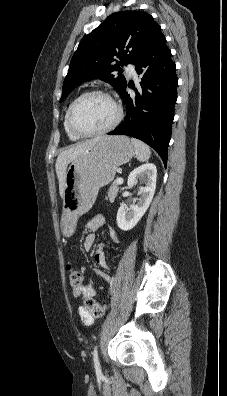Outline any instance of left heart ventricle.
Instances as JSON below:
<instances>
[{
    "label": "left heart ventricle",
    "mask_w": 227,
    "mask_h": 396,
    "mask_svg": "<svg viewBox=\"0 0 227 396\" xmlns=\"http://www.w3.org/2000/svg\"><path fill=\"white\" fill-rule=\"evenodd\" d=\"M115 116V107L107 98L92 95L84 98L77 105L74 123L78 129L91 132L108 126Z\"/></svg>",
    "instance_id": "1"
}]
</instances>
